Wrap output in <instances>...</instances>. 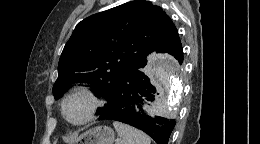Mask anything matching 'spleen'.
Here are the masks:
<instances>
[{"label": "spleen", "mask_w": 260, "mask_h": 144, "mask_svg": "<svg viewBox=\"0 0 260 144\" xmlns=\"http://www.w3.org/2000/svg\"><path fill=\"white\" fill-rule=\"evenodd\" d=\"M113 126L120 137L118 144H151L150 137L134 127L117 121L113 122Z\"/></svg>", "instance_id": "spleen-1"}]
</instances>
